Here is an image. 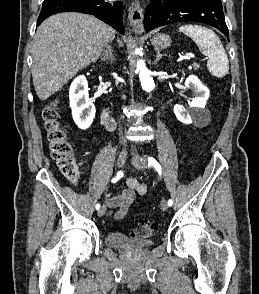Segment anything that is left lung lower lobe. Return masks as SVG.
<instances>
[{
    "instance_id": "1",
    "label": "left lung lower lobe",
    "mask_w": 259,
    "mask_h": 294,
    "mask_svg": "<svg viewBox=\"0 0 259 294\" xmlns=\"http://www.w3.org/2000/svg\"><path fill=\"white\" fill-rule=\"evenodd\" d=\"M194 21L211 25L228 39L221 0H151L145 10L146 32L171 23Z\"/></svg>"
}]
</instances>
